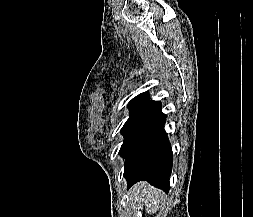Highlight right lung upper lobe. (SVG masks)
<instances>
[{"label": "right lung upper lobe", "instance_id": "right-lung-upper-lobe-1", "mask_svg": "<svg viewBox=\"0 0 253 217\" xmlns=\"http://www.w3.org/2000/svg\"><path fill=\"white\" fill-rule=\"evenodd\" d=\"M132 102H148L152 104L154 101H150V99L148 98V93H142L132 99L130 103Z\"/></svg>", "mask_w": 253, "mask_h": 217}]
</instances>
